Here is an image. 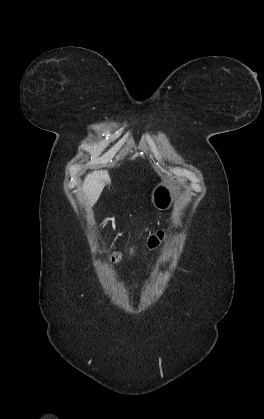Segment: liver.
<instances>
[{"label": "liver", "instance_id": "obj_1", "mask_svg": "<svg viewBox=\"0 0 264 419\" xmlns=\"http://www.w3.org/2000/svg\"><path fill=\"white\" fill-rule=\"evenodd\" d=\"M108 182L110 177L107 171H94L86 176L82 189L90 207L97 202L105 183Z\"/></svg>", "mask_w": 264, "mask_h": 419}]
</instances>
